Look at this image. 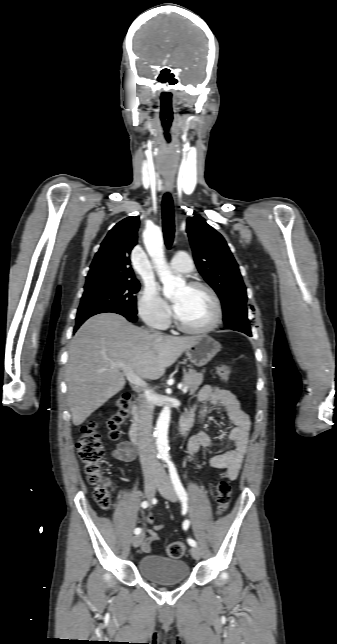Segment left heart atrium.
I'll return each instance as SVG.
<instances>
[{
    "instance_id": "left-heart-atrium-1",
    "label": "left heart atrium",
    "mask_w": 337,
    "mask_h": 644,
    "mask_svg": "<svg viewBox=\"0 0 337 644\" xmlns=\"http://www.w3.org/2000/svg\"><path fill=\"white\" fill-rule=\"evenodd\" d=\"M172 308H173V310H175V309H176V305H175V304H173Z\"/></svg>"
}]
</instances>
